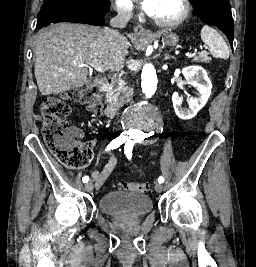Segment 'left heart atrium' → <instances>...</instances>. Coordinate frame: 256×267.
Instances as JSON below:
<instances>
[{
	"label": "left heart atrium",
	"mask_w": 256,
	"mask_h": 267,
	"mask_svg": "<svg viewBox=\"0 0 256 267\" xmlns=\"http://www.w3.org/2000/svg\"><path fill=\"white\" fill-rule=\"evenodd\" d=\"M170 4V0H143V9L156 22L157 25L162 26V16Z\"/></svg>",
	"instance_id": "39dd6f15"
}]
</instances>
